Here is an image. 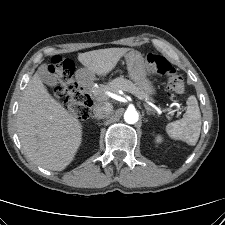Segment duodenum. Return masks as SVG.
Masks as SVG:
<instances>
[{
	"label": "duodenum",
	"mask_w": 225,
	"mask_h": 225,
	"mask_svg": "<svg viewBox=\"0 0 225 225\" xmlns=\"http://www.w3.org/2000/svg\"><path fill=\"white\" fill-rule=\"evenodd\" d=\"M78 85H79L81 91L90 98V96L87 94V91H88V88H89V84H87L84 79H79L78 80ZM91 101H92V99H91Z\"/></svg>",
	"instance_id": "obj_1"
}]
</instances>
